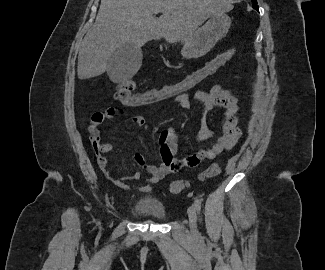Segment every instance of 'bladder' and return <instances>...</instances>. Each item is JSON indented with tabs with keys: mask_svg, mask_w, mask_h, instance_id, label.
<instances>
[{
	"mask_svg": "<svg viewBox=\"0 0 325 270\" xmlns=\"http://www.w3.org/2000/svg\"><path fill=\"white\" fill-rule=\"evenodd\" d=\"M133 209L140 215L150 216L158 220L167 218L166 208L155 196H143L136 200Z\"/></svg>",
	"mask_w": 325,
	"mask_h": 270,
	"instance_id": "31cf9c89",
	"label": "bladder"
}]
</instances>
